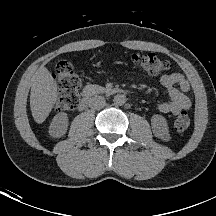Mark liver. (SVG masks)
I'll list each match as a JSON object with an SVG mask.
<instances>
[{
	"label": "liver",
	"mask_w": 216,
	"mask_h": 216,
	"mask_svg": "<svg viewBox=\"0 0 216 216\" xmlns=\"http://www.w3.org/2000/svg\"><path fill=\"white\" fill-rule=\"evenodd\" d=\"M57 83L47 68L41 66L33 76L30 108L36 123H43L57 102Z\"/></svg>",
	"instance_id": "1"
}]
</instances>
